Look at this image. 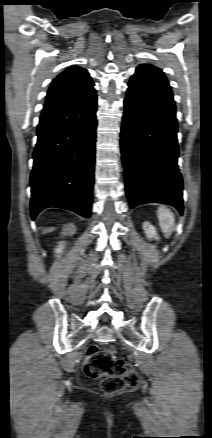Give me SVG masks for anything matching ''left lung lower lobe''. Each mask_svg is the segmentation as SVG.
<instances>
[{"label":"left lung lower lobe","mask_w":212,"mask_h":438,"mask_svg":"<svg viewBox=\"0 0 212 438\" xmlns=\"http://www.w3.org/2000/svg\"><path fill=\"white\" fill-rule=\"evenodd\" d=\"M124 100L121 130L126 195L130 208L163 203L183 212V182L177 159V119L173 94L168 89L131 79Z\"/></svg>","instance_id":"left-lung-lower-lobe-1"}]
</instances>
